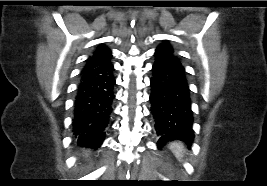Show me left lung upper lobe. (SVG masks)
Instances as JSON below:
<instances>
[{
	"mask_svg": "<svg viewBox=\"0 0 267 186\" xmlns=\"http://www.w3.org/2000/svg\"><path fill=\"white\" fill-rule=\"evenodd\" d=\"M155 53L161 54L164 58L181 65V62L179 58L176 56V54L174 53L173 48L167 42H164L161 45H159Z\"/></svg>",
	"mask_w": 267,
	"mask_h": 186,
	"instance_id": "5c2ea615",
	"label": "left lung upper lobe"
}]
</instances>
